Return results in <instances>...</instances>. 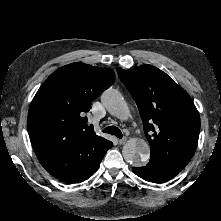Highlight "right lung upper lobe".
Masks as SVG:
<instances>
[{
  "instance_id": "right-lung-upper-lobe-1",
  "label": "right lung upper lobe",
  "mask_w": 221,
  "mask_h": 221,
  "mask_svg": "<svg viewBox=\"0 0 221 221\" xmlns=\"http://www.w3.org/2000/svg\"><path fill=\"white\" fill-rule=\"evenodd\" d=\"M115 81L111 69L72 63L52 73L33 98L28 133L38 159L76 142L97 137L86 124L93 100Z\"/></svg>"
}]
</instances>
